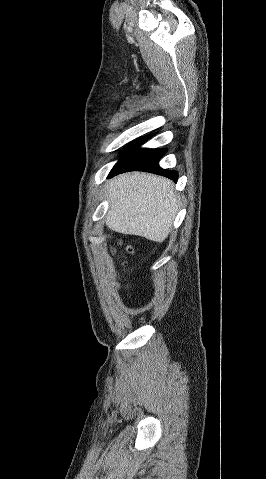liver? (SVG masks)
<instances>
[{"instance_id":"6515ba94","label":"liver","mask_w":266,"mask_h":479,"mask_svg":"<svg viewBox=\"0 0 266 479\" xmlns=\"http://www.w3.org/2000/svg\"><path fill=\"white\" fill-rule=\"evenodd\" d=\"M106 196L105 223L110 229L154 242L168 237L178 211L172 181L148 173H125L109 181Z\"/></svg>"}]
</instances>
